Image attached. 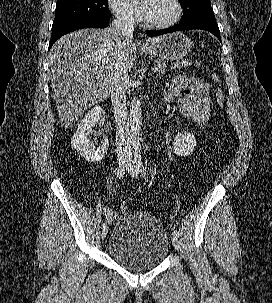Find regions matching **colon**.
Instances as JSON below:
<instances>
[{"label":"colon","instance_id":"colon-1","mask_svg":"<svg viewBox=\"0 0 272 303\" xmlns=\"http://www.w3.org/2000/svg\"><path fill=\"white\" fill-rule=\"evenodd\" d=\"M194 64H195V62H193L192 60H189V59H178L172 63L171 68L174 72H180L186 68L193 66ZM212 78L214 79V81L217 84H219V78L215 74H212ZM215 97H216V102H217L218 106L223 107L224 92L219 86L216 89ZM121 211L122 212L126 211V206L124 204L121 205Z\"/></svg>","mask_w":272,"mask_h":303}]
</instances>
